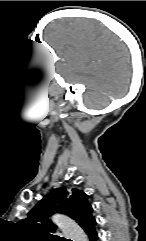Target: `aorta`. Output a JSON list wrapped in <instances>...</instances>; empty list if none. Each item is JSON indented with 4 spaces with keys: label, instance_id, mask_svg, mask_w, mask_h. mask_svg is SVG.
Instances as JSON below:
<instances>
[{
    "label": "aorta",
    "instance_id": "aorta-1",
    "mask_svg": "<svg viewBox=\"0 0 146 241\" xmlns=\"http://www.w3.org/2000/svg\"><path fill=\"white\" fill-rule=\"evenodd\" d=\"M54 223L72 241H88L84 231L69 217L61 214L53 216Z\"/></svg>",
    "mask_w": 146,
    "mask_h": 241
}]
</instances>
